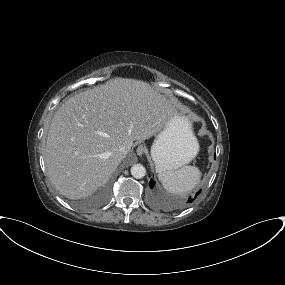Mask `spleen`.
<instances>
[{
  "mask_svg": "<svg viewBox=\"0 0 285 285\" xmlns=\"http://www.w3.org/2000/svg\"><path fill=\"white\" fill-rule=\"evenodd\" d=\"M158 179L170 193L183 195L191 192L199 183L201 172L197 167L184 166L175 171L157 170Z\"/></svg>",
  "mask_w": 285,
  "mask_h": 285,
  "instance_id": "3e777b00",
  "label": "spleen"
}]
</instances>
